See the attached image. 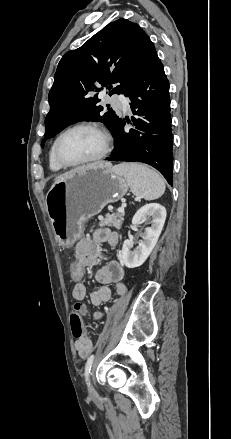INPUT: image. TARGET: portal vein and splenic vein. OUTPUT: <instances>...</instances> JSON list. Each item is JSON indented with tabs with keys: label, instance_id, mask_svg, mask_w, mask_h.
I'll list each match as a JSON object with an SVG mask.
<instances>
[{
	"label": "portal vein and splenic vein",
	"instance_id": "portal-vein-and-splenic-vein-1",
	"mask_svg": "<svg viewBox=\"0 0 231 439\" xmlns=\"http://www.w3.org/2000/svg\"><path fill=\"white\" fill-rule=\"evenodd\" d=\"M126 207V204L123 203L121 207L118 208L119 213H124V208Z\"/></svg>",
	"mask_w": 231,
	"mask_h": 439
}]
</instances>
